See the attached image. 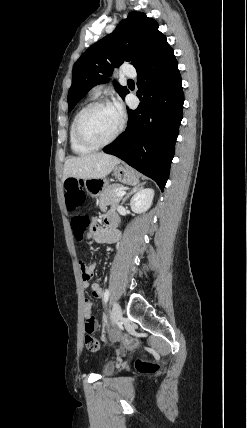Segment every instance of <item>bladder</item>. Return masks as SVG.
<instances>
[{
  "instance_id": "bladder-1",
  "label": "bladder",
  "mask_w": 247,
  "mask_h": 428,
  "mask_svg": "<svg viewBox=\"0 0 247 428\" xmlns=\"http://www.w3.org/2000/svg\"><path fill=\"white\" fill-rule=\"evenodd\" d=\"M114 370L113 362H108L104 365L102 373L103 375H110Z\"/></svg>"
}]
</instances>
